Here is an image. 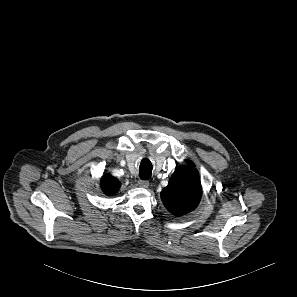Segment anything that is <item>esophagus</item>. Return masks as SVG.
Returning a JSON list of instances; mask_svg holds the SVG:
<instances>
[{"label": "esophagus", "instance_id": "1", "mask_svg": "<svg viewBox=\"0 0 297 297\" xmlns=\"http://www.w3.org/2000/svg\"><path fill=\"white\" fill-rule=\"evenodd\" d=\"M138 186L142 188H148L149 187V181L147 180H139Z\"/></svg>", "mask_w": 297, "mask_h": 297}]
</instances>
